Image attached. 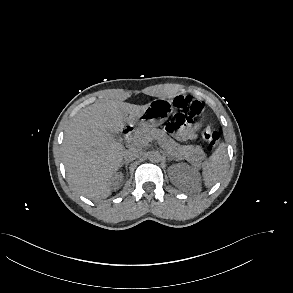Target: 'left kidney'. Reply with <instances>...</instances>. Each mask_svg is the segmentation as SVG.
Listing matches in <instances>:
<instances>
[{
	"label": "left kidney",
	"instance_id": "1",
	"mask_svg": "<svg viewBox=\"0 0 293 293\" xmlns=\"http://www.w3.org/2000/svg\"><path fill=\"white\" fill-rule=\"evenodd\" d=\"M170 168L172 171V182L175 186L200 191V176L195 168L185 163L174 164Z\"/></svg>",
	"mask_w": 293,
	"mask_h": 293
}]
</instances>
